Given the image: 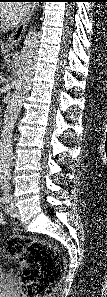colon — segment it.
<instances>
[{
	"label": "colon",
	"mask_w": 107,
	"mask_h": 297,
	"mask_svg": "<svg viewBox=\"0 0 107 297\" xmlns=\"http://www.w3.org/2000/svg\"><path fill=\"white\" fill-rule=\"evenodd\" d=\"M4 254L21 265L18 286L22 297H45L59 283L65 268L62 255L50 243L28 236H8Z\"/></svg>",
	"instance_id": "colon-1"
}]
</instances>
